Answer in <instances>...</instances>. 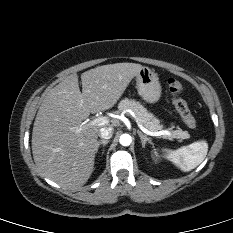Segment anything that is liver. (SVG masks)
I'll use <instances>...</instances> for the list:
<instances>
[{"label":"liver","mask_w":233,"mask_h":233,"mask_svg":"<svg viewBox=\"0 0 233 233\" xmlns=\"http://www.w3.org/2000/svg\"><path fill=\"white\" fill-rule=\"evenodd\" d=\"M143 68L136 63L99 66L81 74H71L45 96L32 132L33 159L46 178L77 189L90 178L101 127L82 121L90 113L112 108L131 80Z\"/></svg>","instance_id":"obj_1"}]
</instances>
